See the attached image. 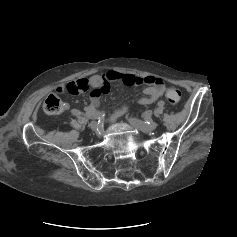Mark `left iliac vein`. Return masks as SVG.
I'll use <instances>...</instances> for the list:
<instances>
[{
  "label": "left iliac vein",
  "instance_id": "obj_1",
  "mask_svg": "<svg viewBox=\"0 0 237 237\" xmlns=\"http://www.w3.org/2000/svg\"><path fill=\"white\" fill-rule=\"evenodd\" d=\"M128 121L135 126L136 128H138L139 130L143 131V132H150L153 131L157 128L158 124L154 121L150 122V123H145L137 118L134 117H129Z\"/></svg>",
  "mask_w": 237,
  "mask_h": 237
}]
</instances>
